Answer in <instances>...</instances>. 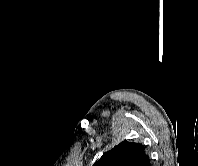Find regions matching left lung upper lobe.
I'll list each match as a JSON object with an SVG mask.
<instances>
[{"instance_id":"obj_1","label":"left lung upper lobe","mask_w":198,"mask_h":166,"mask_svg":"<svg viewBox=\"0 0 198 166\" xmlns=\"http://www.w3.org/2000/svg\"><path fill=\"white\" fill-rule=\"evenodd\" d=\"M94 166H151V160L142 144L125 140L104 153Z\"/></svg>"}]
</instances>
